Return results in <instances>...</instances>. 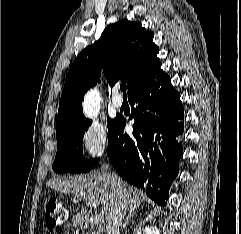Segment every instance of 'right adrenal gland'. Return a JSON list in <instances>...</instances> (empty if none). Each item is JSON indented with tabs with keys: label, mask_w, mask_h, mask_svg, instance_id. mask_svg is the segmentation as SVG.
<instances>
[{
	"label": "right adrenal gland",
	"mask_w": 241,
	"mask_h": 234,
	"mask_svg": "<svg viewBox=\"0 0 241 234\" xmlns=\"http://www.w3.org/2000/svg\"><path fill=\"white\" fill-rule=\"evenodd\" d=\"M135 212L132 211V212H129L126 219H125V222L123 223L122 225V229H125L126 226L129 224V220L134 216Z\"/></svg>",
	"instance_id": "1"
}]
</instances>
